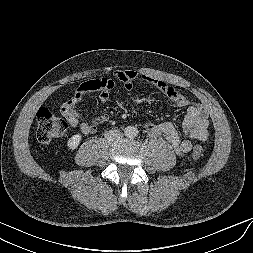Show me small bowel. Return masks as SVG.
<instances>
[{"label": "small bowel", "instance_id": "obj_1", "mask_svg": "<svg viewBox=\"0 0 253 253\" xmlns=\"http://www.w3.org/2000/svg\"><path fill=\"white\" fill-rule=\"evenodd\" d=\"M114 75L123 83L124 89L130 92L133 89V81L139 76V73L133 69H123L116 71ZM142 77L149 86L164 94L170 103L186 108V114L182 121L183 138L171 122L146 123L145 130L149 135L154 137L164 136L175 153L180 156L189 153L193 141H206L208 139V114L202 105L190 101L175 87L161 79L147 74L142 75ZM113 86V81L107 78L82 83L77 87L72 97L62 105L61 112L63 116L71 126L78 127L83 135L95 133L101 124L108 121V117L99 115L91 122H85L82 119V114L76 110V106L87 93L92 91H98L100 102L106 103L109 100Z\"/></svg>", "mask_w": 253, "mask_h": 253}]
</instances>
